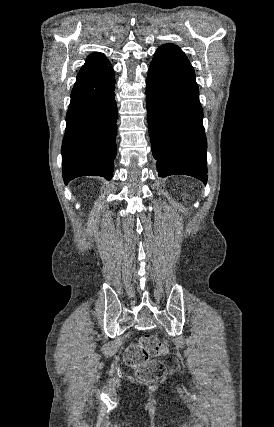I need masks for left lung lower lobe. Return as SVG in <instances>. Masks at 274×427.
<instances>
[{
    "mask_svg": "<svg viewBox=\"0 0 274 427\" xmlns=\"http://www.w3.org/2000/svg\"><path fill=\"white\" fill-rule=\"evenodd\" d=\"M146 102L152 153L158 176L189 175L207 182V141L195 73L174 44L154 54Z\"/></svg>",
    "mask_w": 274,
    "mask_h": 427,
    "instance_id": "obj_1",
    "label": "left lung lower lobe"
}]
</instances>
